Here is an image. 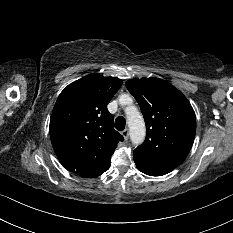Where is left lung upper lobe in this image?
<instances>
[{
  "label": "left lung upper lobe",
  "mask_w": 233,
  "mask_h": 233,
  "mask_svg": "<svg viewBox=\"0 0 233 233\" xmlns=\"http://www.w3.org/2000/svg\"><path fill=\"white\" fill-rule=\"evenodd\" d=\"M126 87L141 108L147 130L145 142L135 151L178 167L187 157L196 132L190 102L173 85L159 78L130 79Z\"/></svg>",
  "instance_id": "1"
}]
</instances>
